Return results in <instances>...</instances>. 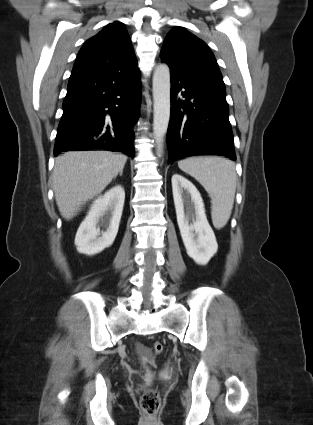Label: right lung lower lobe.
<instances>
[{"label":"right lung lower lobe","mask_w":313,"mask_h":425,"mask_svg":"<svg viewBox=\"0 0 313 425\" xmlns=\"http://www.w3.org/2000/svg\"><path fill=\"white\" fill-rule=\"evenodd\" d=\"M141 101L140 71L109 67L72 70L54 155L105 149L134 156L132 128Z\"/></svg>","instance_id":"obj_1"}]
</instances>
